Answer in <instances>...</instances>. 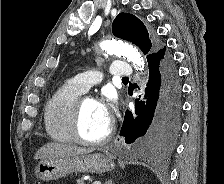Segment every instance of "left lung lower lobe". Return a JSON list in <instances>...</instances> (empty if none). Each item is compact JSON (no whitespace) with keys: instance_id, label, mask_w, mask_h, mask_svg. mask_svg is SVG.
I'll return each mask as SVG.
<instances>
[{"instance_id":"obj_1","label":"left lung lower lobe","mask_w":224,"mask_h":184,"mask_svg":"<svg viewBox=\"0 0 224 184\" xmlns=\"http://www.w3.org/2000/svg\"><path fill=\"white\" fill-rule=\"evenodd\" d=\"M149 80L146 102L136 100V118L126 111L120 136L127 144L168 151L179 131L181 88L172 55L162 48L147 57Z\"/></svg>"}]
</instances>
